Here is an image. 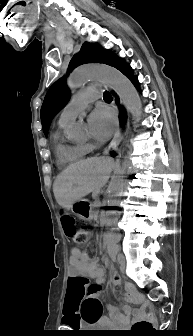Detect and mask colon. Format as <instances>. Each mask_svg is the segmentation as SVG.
Masks as SVG:
<instances>
[{"label": "colon", "instance_id": "colon-1", "mask_svg": "<svg viewBox=\"0 0 193 336\" xmlns=\"http://www.w3.org/2000/svg\"><path fill=\"white\" fill-rule=\"evenodd\" d=\"M61 224L64 230L65 235L72 242H80L79 232L76 226V220L73 216L65 214L61 217ZM81 288V292L84 295H89V297L83 302V316L84 319L89 322H95L96 319L100 316V310L98 301L93 297L98 290V284H91L86 279H82L78 283ZM153 315L151 313L147 314V317L143 320L136 322L131 330V336H146L150 331L153 330L152 323Z\"/></svg>", "mask_w": 193, "mask_h": 336}]
</instances>
